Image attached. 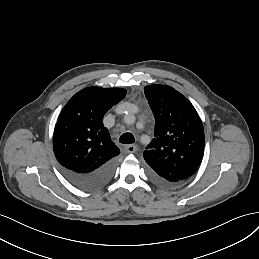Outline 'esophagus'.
I'll use <instances>...</instances> for the list:
<instances>
[{
    "mask_svg": "<svg viewBox=\"0 0 259 259\" xmlns=\"http://www.w3.org/2000/svg\"><path fill=\"white\" fill-rule=\"evenodd\" d=\"M125 152L127 153H135L138 150V147L136 145H127L125 146Z\"/></svg>",
    "mask_w": 259,
    "mask_h": 259,
    "instance_id": "esophagus-1",
    "label": "esophagus"
}]
</instances>
